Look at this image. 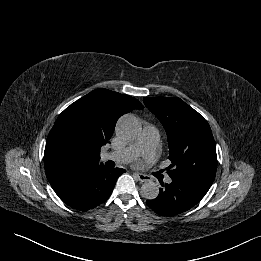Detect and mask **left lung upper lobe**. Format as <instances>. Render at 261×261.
Wrapping results in <instances>:
<instances>
[{
    "label": "left lung upper lobe",
    "instance_id": "1",
    "mask_svg": "<svg viewBox=\"0 0 261 261\" xmlns=\"http://www.w3.org/2000/svg\"><path fill=\"white\" fill-rule=\"evenodd\" d=\"M145 106L165 128L172 177L194 176L213 182L217 170L216 145L208 122L180 98H144Z\"/></svg>",
    "mask_w": 261,
    "mask_h": 261
}]
</instances>
